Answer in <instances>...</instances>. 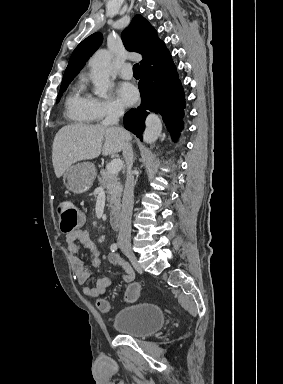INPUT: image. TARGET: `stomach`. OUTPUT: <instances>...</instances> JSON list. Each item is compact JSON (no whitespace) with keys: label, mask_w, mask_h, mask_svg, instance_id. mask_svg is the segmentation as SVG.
<instances>
[{"label":"stomach","mask_w":283,"mask_h":384,"mask_svg":"<svg viewBox=\"0 0 283 384\" xmlns=\"http://www.w3.org/2000/svg\"><path fill=\"white\" fill-rule=\"evenodd\" d=\"M96 176V170L92 162H80L67 168L63 174L65 188L73 194H84L90 190Z\"/></svg>","instance_id":"obj_1"}]
</instances>
